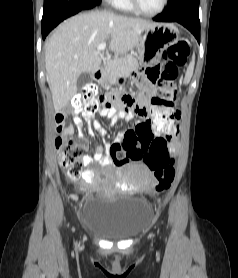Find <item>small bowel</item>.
I'll list each match as a JSON object with an SVG mask.
<instances>
[{
    "label": "small bowel",
    "instance_id": "obj_1",
    "mask_svg": "<svg viewBox=\"0 0 238 278\" xmlns=\"http://www.w3.org/2000/svg\"><path fill=\"white\" fill-rule=\"evenodd\" d=\"M154 64H150L149 67L145 68L144 76L148 83L141 78L139 84L143 89V92L140 96V101L137 103L136 100H123L122 104L125 105L122 108H117L113 99L101 95L98 99L99 103L102 105L99 110L100 114L106 118H109L112 123L124 119L129 121L133 119L136 115L144 118L145 120L139 122L134 129H130L120 133L114 143H124L132 141L134 144H141L140 137H152L150 144H167L169 149H173V154L176 153L179 149V143L177 141V129L175 127L174 131L170 135H160L153 133V127H141L147 125V115L140 113H152V105H147L148 98H151L150 86L149 85H159L160 77L162 71V65L157 64L158 60H153ZM95 113V112H94ZM94 113H89L82 109H75L73 121L78 129V136L81 139V145L87 149L88 143L83 138L82 128L85 120L91 121L92 127L99 133L103 140V146H98L95 149L94 155H85L83 156V163L85 166H90L95 162L101 163L103 165H108L111 163L110 159L104 156V150L109 151L112 144L105 141L107 135L106 130L102 127L100 122L94 119ZM66 114L63 112H58L55 116V122L57 125V131L63 135H69L74 133V128L72 126H65ZM179 118V113L176 112L175 120ZM172 155V154H170ZM148 167V166H147ZM151 171V170H150ZM152 172V171H151ZM153 173V172H152ZM86 177H89L88 175ZM155 185V180L151 175L147 176L145 181V186L147 189L153 188ZM74 198V196L72 197Z\"/></svg>",
    "mask_w": 238,
    "mask_h": 278
}]
</instances>
